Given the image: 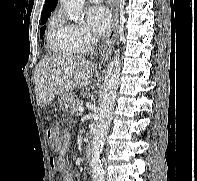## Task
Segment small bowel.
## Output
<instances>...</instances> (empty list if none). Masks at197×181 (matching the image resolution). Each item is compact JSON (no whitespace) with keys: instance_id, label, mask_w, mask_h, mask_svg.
<instances>
[{"instance_id":"obj_1","label":"small bowel","mask_w":197,"mask_h":181,"mask_svg":"<svg viewBox=\"0 0 197 181\" xmlns=\"http://www.w3.org/2000/svg\"><path fill=\"white\" fill-rule=\"evenodd\" d=\"M68 142H66L62 149L61 155L53 161V172L61 173V181H74V173L71 169H69L67 162L64 159V154L67 150Z\"/></svg>"}]
</instances>
